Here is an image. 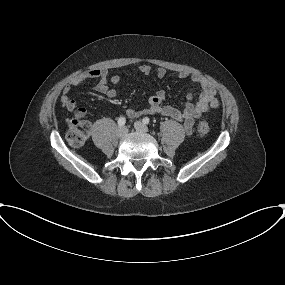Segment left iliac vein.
I'll return each mask as SVG.
<instances>
[{
    "label": "left iliac vein",
    "mask_w": 285,
    "mask_h": 285,
    "mask_svg": "<svg viewBox=\"0 0 285 285\" xmlns=\"http://www.w3.org/2000/svg\"><path fill=\"white\" fill-rule=\"evenodd\" d=\"M134 127H135L136 131H138V132H141V133H147L148 132L147 126L140 121H136L134 123Z\"/></svg>",
    "instance_id": "left-iliac-vein-1"
}]
</instances>
